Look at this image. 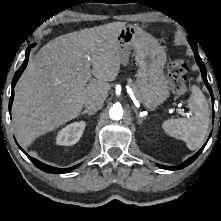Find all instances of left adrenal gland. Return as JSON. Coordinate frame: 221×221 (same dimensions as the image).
<instances>
[{
  "instance_id": "obj_1",
  "label": "left adrenal gland",
  "mask_w": 221,
  "mask_h": 221,
  "mask_svg": "<svg viewBox=\"0 0 221 221\" xmlns=\"http://www.w3.org/2000/svg\"><path fill=\"white\" fill-rule=\"evenodd\" d=\"M133 109H134V111H135V113H136V115H137V119H138V121H139V124H142L144 118H141V117L138 115V112H137L136 108L133 107Z\"/></svg>"
}]
</instances>
